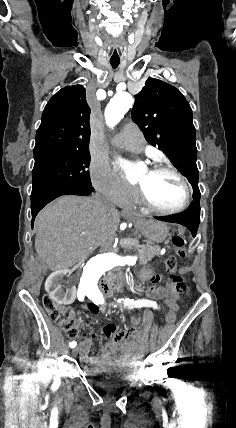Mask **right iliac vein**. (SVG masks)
<instances>
[{
    "instance_id": "63e3f726",
    "label": "right iliac vein",
    "mask_w": 236,
    "mask_h": 428,
    "mask_svg": "<svg viewBox=\"0 0 236 428\" xmlns=\"http://www.w3.org/2000/svg\"><path fill=\"white\" fill-rule=\"evenodd\" d=\"M79 346H75L74 351L71 353L73 356H78Z\"/></svg>"
}]
</instances>
